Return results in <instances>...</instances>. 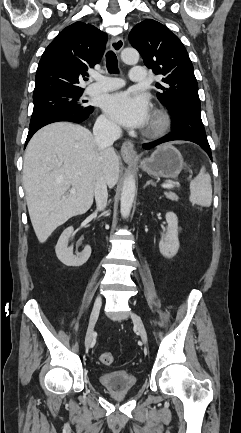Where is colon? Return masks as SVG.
Returning <instances> with one entry per match:
<instances>
[{"mask_svg": "<svg viewBox=\"0 0 241 433\" xmlns=\"http://www.w3.org/2000/svg\"><path fill=\"white\" fill-rule=\"evenodd\" d=\"M100 361L106 365L111 364L114 361V356L110 352H104L100 356Z\"/></svg>", "mask_w": 241, "mask_h": 433, "instance_id": "1", "label": "colon"}]
</instances>
